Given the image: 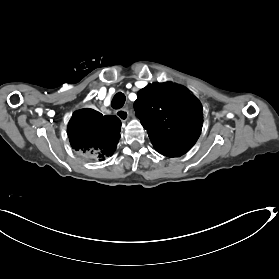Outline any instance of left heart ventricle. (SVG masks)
Instances as JSON below:
<instances>
[{"label": "left heart ventricle", "instance_id": "left-heart-ventricle-1", "mask_svg": "<svg viewBox=\"0 0 279 279\" xmlns=\"http://www.w3.org/2000/svg\"><path fill=\"white\" fill-rule=\"evenodd\" d=\"M116 72V68H105L103 71L97 72L96 76L101 84H108L115 80Z\"/></svg>", "mask_w": 279, "mask_h": 279}]
</instances>
